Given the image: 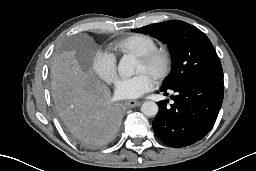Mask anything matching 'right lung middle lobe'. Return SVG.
Segmentation results:
<instances>
[{
	"label": "right lung middle lobe",
	"mask_w": 256,
	"mask_h": 171,
	"mask_svg": "<svg viewBox=\"0 0 256 171\" xmlns=\"http://www.w3.org/2000/svg\"><path fill=\"white\" fill-rule=\"evenodd\" d=\"M50 71L54 102L69 97L79 90L73 71L63 58H56Z\"/></svg>",
	"instance_id": "1"
}]
</instances>
